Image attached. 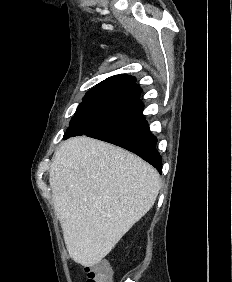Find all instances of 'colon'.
<instances>
[{
    "instance_id": "colon-1",
    "label": "colon",
    "mask_w": 232,
    "mask_h": 282,
    "mask_svg": "<svg viewBox=\"0 0 232 282\" xmlns=\"http://www.w3.org/2000/svg\"><path fill=\"white\" fill-rule=\"evenodd\" d=\"M86 273L85 282H113L112 270L106 260H100L93 265L84 268Z\"/></svg>"
}]
</instances>
